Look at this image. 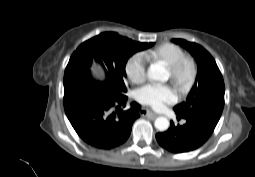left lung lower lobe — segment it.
Wrapping results in <instances>:
<instances>
[{
    "instance_id": "1",
    "label": "left lung lower lobe",
    "mask_w": 255,
    "mask_h": 177,
    "mask_svg": "<svg viewBox=\"0 0 255 177\" xmlns=\"http://www.w3.org/2000/svg\"><path fill=\"white\" fill-rule=\"evenodd\" d=\"M182 118L186 120L184 125L175 126L171 122L166 132L156 134L158 143L173 153H185L199 148L208 140L216 127V124L205 120Z\"/></svg>"
}]
</instances>
